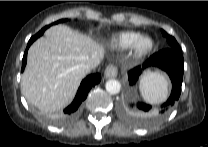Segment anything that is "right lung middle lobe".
<instances>
[{"label": "right lung middle lobe", "mask_w": 208, "mask_h": 147, "mask_svg": "<svg viewBox=\"0 0 208 147\" xmlns=\"http://www.w3.org/2000/svg\"><path fill=\"white\" fill-rule=\"evenodd\" d=\"M66 20V19H65ZM64 20H59L55 23H59V22H63ZM49 26H45L43 29H41V31H39L38 33H43Z\"/></svg>", "instance_id": "obj_1"}]
</instances>
